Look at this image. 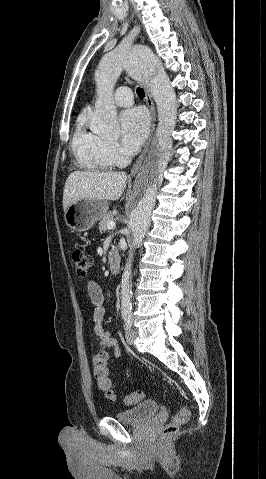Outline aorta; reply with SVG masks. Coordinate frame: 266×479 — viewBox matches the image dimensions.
Listing matches in <instances>:
<instances>
[{"mask_svg": "<svg viewBox=\"0 0 266 479\" xmlns=\"http://www.w3.org/2000/svg\"><path fill=\"white\" fill-rule=\"evenodd\" d=\"M126 69L133 77L145 80L154 97L163 107V129L172 122L174 103L165 76L161 72L160 62L153 52L144 45L122 49L117 48L105 54L95 72L98 97L95 108L89 119L94 132L117 136L119 125L116 107L112 101L114 85L121 72ZM163 155L160 154L157 164L161 165ZM159 172L149 168L136 186L130 199V232L129 252L121 280V313L131 312V272L135 248L146 234L150 224L152 209L155 204Z\"/></svg>", "mask_w": 266, "mask_h": 479, "instance_id": "obj_1", "label": "aorta"}]
</instances>
